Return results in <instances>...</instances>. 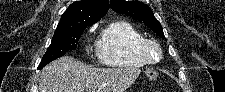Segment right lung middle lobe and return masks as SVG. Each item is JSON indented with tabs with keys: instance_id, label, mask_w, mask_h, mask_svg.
Returning <instances> with one entry per match:
<instances>
[{
	"instance_id": "dd1d6c3e",
	"label": "right lung middle lobe",
	"mask_w": 225,
	"mask_h": 92,
	"mask_svg": "<svg viewBox=\"0 0 225 92\" xmlns=\"http://www.w3.org/2000/svg\"><path fill=\"white\" fill-rule=\"evenodd\" d=\"M91 25L92 24L78 25L73 28H57L38 69L43 68L51 61L65 55L68 51L76 49L81 34L87 26Z\"/></svg>"
}]
</instances>
